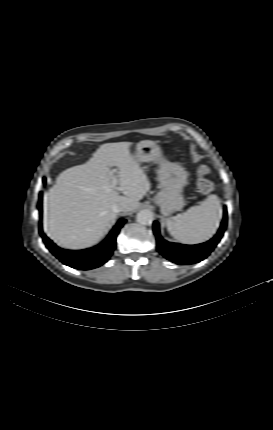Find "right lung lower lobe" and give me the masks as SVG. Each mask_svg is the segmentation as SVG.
Segmentation results:
<instances>
[{
	"label": "right lung lower lobe",
	"mask_w": 273,
	"mask_h": 430,
	"mask_svg": "<svg viewBox=\"0 0 273 430\" xmlns=\"http://www.w3.org/2000/svg\"><path fill=\"white\" fill-rule=\"evenodd\" d=\"M45 180L46 179L43 178L44 182ZM41 201H42V192L39 193V203H38V209L40 214L42 213ZM125 222H126L125 219L118 221L117 224L114 226L113 230L110 232L109 236L104 241H102L100 245L90 249L79 250V251L64 250L57 247L43 233L41 225L39 226V233L43 238V241L46 247L63 264L75 269L89 270L103 265L110 258L114 249L116 248L117 234Z\"/></svg>",
	"instance_id": "obj_1"
}]
</instances>
